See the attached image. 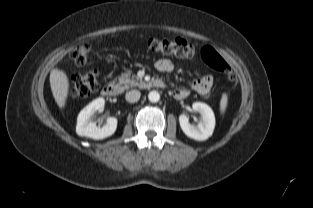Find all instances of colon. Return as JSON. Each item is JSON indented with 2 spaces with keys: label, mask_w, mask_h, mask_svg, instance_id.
<instances>
[{
  "label": "colon",
  "mask_w": 313,
  "mask_h": 208,
  "mask_svg": "<svg viewBox=\"0 0 313 208\" xmlns=\"http://www.w3.org/2000/svg\"><path fill=\"white\" fill-rule=\"evenodd\" d=\"M148 48L157 54L175 56L178 58H193L195 48L185 40L156 39L148 41ZM90 45L81 43L70 53V57L77 65H83L88 61ZM201 57L212 69L223 73L230 81L234 80L235 75L230 65L212 47L206 46L201 49ZM98 90V72L89 70L84 73L76 74L70 83V95L72 97H88Z\"/></svg>",
  "instance_id": "colon-1"
}]
</instances>
